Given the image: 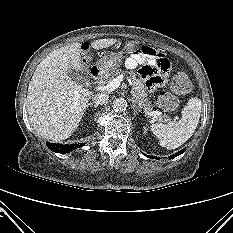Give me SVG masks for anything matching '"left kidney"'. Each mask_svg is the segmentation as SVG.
Listing matches in <instances>:
<instances>
[{"instance_id": "obj_1", "label": "left kidney", "mask_w": 233, "mask_h": 233, "mask_svg": "<svg viewBox=\"0 0 233 233\" xmlns=\"http://www.w3.org/2000/svg\"><path fill=\"white\" fill-rule=\"evenodd\" d=\"M143 131H144V134H146L147 133V128L143 127Z\"/></svg>"}]
</instances>
